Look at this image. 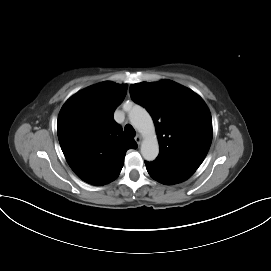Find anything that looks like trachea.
Listing matches in <instances>:
<instances>
[{
	"mask_svg": "<svg viewBox=\"0 0 271 271\" xmlns=\"http://www.w3.org/2000/svg\"><path fill=\"white\" fill-rule=\"evenodd\" d=\"M124 131L128 136L131 137L135 136L136 134L134 128L129 124L125 126Z\"/></svg>",
	"mask_w": 271,
	"mask_h": 271,
	"instance_id": "3493384b",
	"label": "trachea"
}]
</instances>
